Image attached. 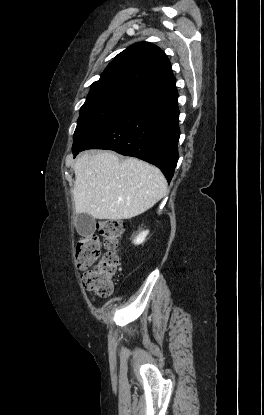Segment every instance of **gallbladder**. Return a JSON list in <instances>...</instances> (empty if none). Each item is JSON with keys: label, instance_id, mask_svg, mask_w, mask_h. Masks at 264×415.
<instances>
[{"label": "gallbladder", "instance_id": "1", "mask_svg": "<svg viewBox=\"0 0 264 415\" xmlns=\"http://www.w3.org/2000/svg\"><path fill=\"white\" fill-rule=\"evenodd\" d=\"M77 231L82 236H89L94 231V219L88 214H79L77 217Z\"/></svg>", "mask_w": 264, "mask_h": 415}]
</instances>
